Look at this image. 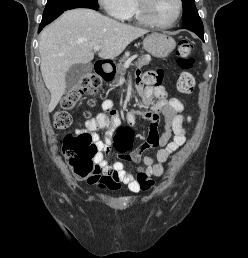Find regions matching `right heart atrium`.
I'll list each match as a JSON object with an SVG mask.
<instances>
[{
    "label": "right heart atrium",
    "instance_id": "obj_1",
    "mask_svg": "<svg viewBox=\"0 0 248 258\" xmlns=\"http://www.w3.org/2000/svg\"><path fill=\"white\" fill-rule=\"evenodd\" d=\"M106 13L115 19H124L130 8V0H97Z\"/></svg>",
    "mask_w": 248,
    "mask_h": 258
}]
</instances>
